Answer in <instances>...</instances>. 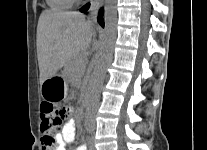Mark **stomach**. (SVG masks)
<instances>
[{
    "instance_id": "1",
    "label": "stomach",
    "mask_w": 207,
    "mask_h": 150,
    "mask_svg": "<svg viewBox=\"0 0 207 150\" xmlns=\"http://www.w3.org/2000/svg\"><path fill=\"white\" fill-rule=\"evenodd\" d=\"M41 94L47 100H62L68 95L67 81L60 76H53L41 84Z\"/></svg>"
}]
</instances>
